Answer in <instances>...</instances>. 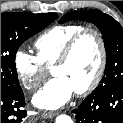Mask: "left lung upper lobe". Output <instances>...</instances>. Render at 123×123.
<instances>
[{
    "mask_svg": "<svg viewBox=\"0 0 123 123\" xmlns=\"http://www.w3.org/2000/svg\"><path fill=\"white\" fill-rule=\"evenodd\" d=\"M76 19L94 23L103 35L107 54L106 69L100 85L93 92H106L123 87V28L121 25L99 10L69 12L59 23Z\"/></svg>",
    "mask_w": 123,
    "mask_h": 123,
    "instance_id": "5c2ea615",
    "label": "left lung upper lobe"
}]
</instances>
